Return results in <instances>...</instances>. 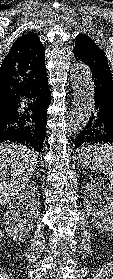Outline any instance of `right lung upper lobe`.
<instances>
[{"label":"right lung upper lobe","mask_w":113,"mask_h":279,"mask_svg":"<svg viewBox=\"0 0 113 279\" xmlns=\"http://www.w3.org/2000/svg\"><path fill=\"white\" fill-rule=\"evenodd\" d=\"M45 49L39 37L28 32L19 37L0 68V110L12 108L43 75Z\"/></svg>","instance_id":"obj_1"}]
</instances>
